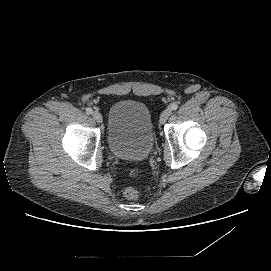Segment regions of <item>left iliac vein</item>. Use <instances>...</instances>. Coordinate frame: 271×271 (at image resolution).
Returning a JSON list of instances; mask_svg holds the SVG:
<instances>
[{
    "label": "left iliac vein",
    "mask_w": 271,
    "mask_h": 271,
    "mask_svg": "<svg viewBox=\"0 0 271 271\" xmlns=\"http://www.w3.org/2000/svg\"><path fill=\"white\" fill-rule=\"evenodd\" d=\"M172 111L170 108L165 109L160 116V122L161 123H165L166 120L169 118V116L171 115Z\"/></svg>",
    "instance_id": "1"
}]
</instances>
